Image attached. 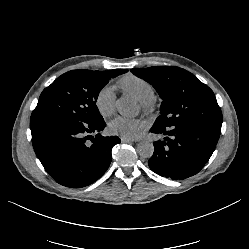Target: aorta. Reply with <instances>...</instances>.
<instances>
[{
  "instance_id": "762f6f07",
  "label": "aorta",
  "mask_w": 249,
  "mask_h": 249,
  "mask_svg": "<svg viewBox=\"0 0 249 249\" xmlns=\"http://www.w3.org/2000/svg\"><path fill=\"white\" fill-rule=\"evenodd\" d=\"M115 107L122 116L126 117L134 116L137 112L135 105L126 97L119 98ZM137 153L142 158H150L154 153V145L149 141H142L137 146Z\"/></svg>"
}]
</instances>
